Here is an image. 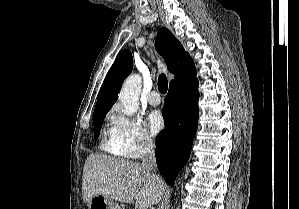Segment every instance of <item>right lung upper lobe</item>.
<instances>
[{
    "label": "right lung upper lobe",
    "mask_w": 299,
    "mask_h": 209,
    "mask_svg": "<svg viewBox=\"0 0 299 209\" xmlns=\"http://www.w3.org/2000/svg\"><path fill=\"white\" fill-rule=\"evenodd\" d=\"M155 47L162 55L167 69L175 75L170 87L185 84L196 77V68L189 53L166 28H161L155 40ZM132 54L122 51L115 59L100 89L94 114L107 113L116 102L124 78L132 71Z\"/></svg>",
    "instance_id": "1"
}]
</instances>
